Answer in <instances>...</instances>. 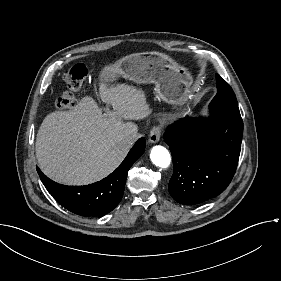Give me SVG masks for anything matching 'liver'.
I'll list each match as a JSON object with an SVG mask.
<instances>
[{
    "label": "liver",
    "mask_w": 281,
    "mask_h": 281,
    "mask_svg": "<svg viewBox=\"0 0 281 281\" xmlns=\"http://www.w3.org/2000/svg\"><path fill=\"white\" fill-rule=\"evenodd\" d=\"M99 96L113 112L104 115L92 97L81 99L71 111L48 114L37 133L36 157L42 172L65 185H88L117 168L132 145L120 139L137 134L139 120L151 114L142 89L126 84L106 88Z\"/></svg>",
    "instance_id": "6515ba94"
}]
</instances>
